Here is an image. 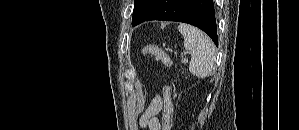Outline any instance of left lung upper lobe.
I'll use <instances>...</instances> for the list:
<instances>
[{"mask_svg":"<svg viewBox=\"0 0 299 130\" xmlns=\"http://www.w3.org/2000/svg\"><path fill=\"white\" fill-rule=\"evenodd\" d=\"M149 10V0H135L132 24L139 22Z\"/></svg>","mask_w":299,"mask_h":130,"instance_id":"1","label":"left lung upper lobe"}]
</instances>
